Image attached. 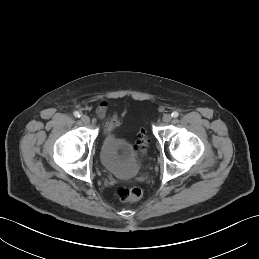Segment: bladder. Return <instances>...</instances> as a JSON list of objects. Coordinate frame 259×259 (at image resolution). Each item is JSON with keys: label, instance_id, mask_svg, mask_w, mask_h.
<instances>
[{"label": "bladder", "instance_id": "31cf9c89", "mask_svg": "<svg viewBox=\"0 0 259 259\" xmlns=\"http://www.w3.org/2000/svg\"><path fill=\"white\" fill-rule=\"evenodd\" d=\"M99 158L102 166L118 177H133L139 171L132 143L114 133L103 139Z\"/></svg>", "mask_w": 259, "mask_h": 259}]
</instances>
